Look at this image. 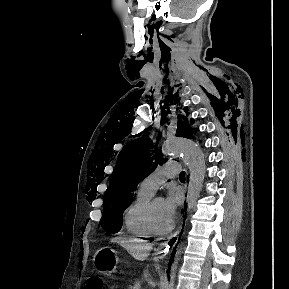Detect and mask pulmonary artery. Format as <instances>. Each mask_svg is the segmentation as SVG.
I'll use <instances>...</instances> for the list:
<instances>
[{
	"mask_svg": "<svg viewBox=\"0 0 289 289\" xmlns=\"http://www.w3.org/2000/svg\"><path fill=\"white\" fill-rule=\"evenodd\" d=\"M179 174V164L176 161H167L146 176L139 184V189L154 194L158 187L168 178Z\"/></svg>",
	"mask_w": 289,
	"mask_h": 289,
	"instance_id": "obj_1",
	"label": "pulmonary artery"
}]
</instances>
